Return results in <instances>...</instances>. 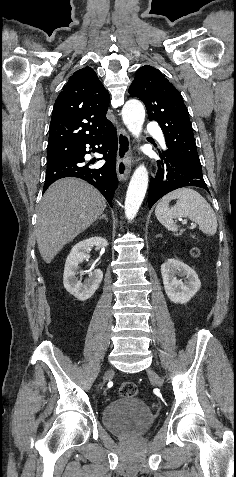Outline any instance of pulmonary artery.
I'll return each instance as SVG.
<instances>
[{
  "label": "pulmonary artery",
  "mask_w": 236,
  "mask_h": 477,
  "mask_svg": "<svg viewBox=\"0 0 236 477\" xmlns=\"http://www.w3.org/2000/svg\"><path fill=\"white\" fill-rule=\"evenodd\" d=\"M146 131L149 132V133L155 134L158 137V139L163 141V137L160 135L157 127L154 124L148 125L147 128H146Z\"/></svg>",
  "instance_id": "pulmonary-artery-1"
}]
</instances>
